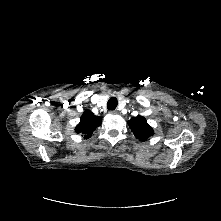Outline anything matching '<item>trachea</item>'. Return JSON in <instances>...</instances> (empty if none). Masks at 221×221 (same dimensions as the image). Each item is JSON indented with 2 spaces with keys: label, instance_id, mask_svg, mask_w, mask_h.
<instances>
[{
  "label": "trachea",
  "instance_id": "3493384b",
  "mask_svg": "<svg viewBox=\"0 0 221 221\" xmlns=\"http://www.w3.org/2000/svg\"><path fill=\"white\" fill-rule=\"evenodd\" d=\"M118 105V101L116 97H111L107 102V108L109 110H114Z\"/></svg>",
  "mask_w": 221,
  "mask_h": 221
}]
</instances>
